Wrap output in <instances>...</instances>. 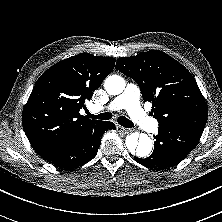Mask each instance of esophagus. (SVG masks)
Returning <instances> with one entry per match:
<instances>
[{"mask_svg":"<svg viewBox=\"0 0 222 222\" xmlns=\"http://www.w3.org/2000/svg\"><path fill=\"white\" fill-rule=\"evenodd\" d=\"M117 130H118L119 132H123V133H125V134L132 131V129L125 128V127L120 126V125H117Z\"/></svg>","mask_w":222,"mask_h":222,"instance_id":"esophagus-1","label":"esophagus"}]
</instances>
